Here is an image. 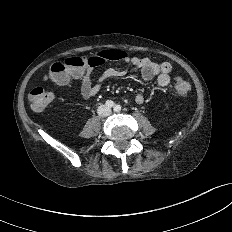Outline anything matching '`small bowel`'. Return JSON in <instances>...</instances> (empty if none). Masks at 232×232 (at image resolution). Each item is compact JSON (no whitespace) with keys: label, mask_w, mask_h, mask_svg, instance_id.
<instances>
[{"label":"small bowel","mask_w":232,"mask_h":232,"mask_svg":"<svg viewBox=\"0 0 232 232\" xmlns=\"http://www.w3.org/2000/svg\"><path fill=\"white\" fill-rule=\"evenodd\" d=\"M103 53L106 57L97 65L88 67L86 70L74 74L71 77L78 81L80 94L83 99H89L99 93L103 83L110 78H120L127 75V70H120L115 68H108L103 71L95 80H93L92 69L96 66H100L109 61H116L126 64L131 67L133 71H139L145 80H152L156 78L157 86L159 88H165L171 81L170 74L172 72V66L169 62H155L148 57H130L127 52L118 49L105 50ZM69 78L61 81L53 82L56 85H65ZM137 104H143L146 101V96L143 92H139L135 96Z\"/></svg>","instance_id":"obj_1"}]
</instances>
